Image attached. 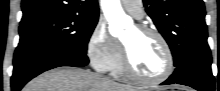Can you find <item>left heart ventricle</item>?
I'll return each mask as SVG.
<instances>
[{"instance_id":"obj_1","label":"left heart ventricle","mask_w":220,"mask_h":91,"mask_svg":"<svg viewBox=\"0 0 220 91\" xmlns=\"http://www.w3.org/2000/svg\"><path fill=\"white\" fill-rule=\"evenodd\" d=\"M133 68L145 77L160 75L166 68V55L159 40L153 35L142 34L136 27L123 37Z\"/></svg>"}]
</instances>
